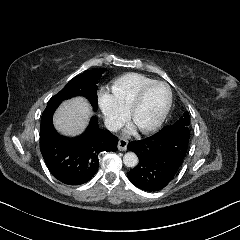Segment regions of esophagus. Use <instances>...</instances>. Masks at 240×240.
<instances>
[{"instance_id": "34e87169", "label": "esophagus", "mask_w": 240, "mask_h": 240, "mask_svg": "<svg viewBox=\"0 0 240 240\" xmlns=\"http://www.w3.org/2000/svg\"><path fill=\"white\" fill-rule=\"evenodd\" d=\"M127 145H128V140H126L125 138H120L118 141V150L126 151Z\"/></svg>"}]
</instances>
